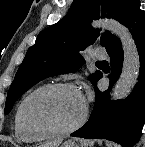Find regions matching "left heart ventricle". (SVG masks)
Wrapping results in <instances>:
<instances>
[{
  "label": "left heart ventricle",
  "instance_id": "1",
  "mask_svg": "<svg viewBox=\"0 0 145 147\" xmlns=\"http://www.w3.org/2000/svg\"><path fill=\"white\" fill-rule=\"evenodd\" d=\"M81 94L74 90H57L35 98L30 105L32 118L64 129L76 123L83 113Z\"/></svg>",
  "mask_w": 145,
  "mask_h": 147
}]
</instances>
